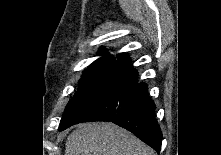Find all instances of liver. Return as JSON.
<instances>
[{"instance_id":"6515ba94","label":"liver","mask_w":221,"mask_h":155,"mask_svg":"<svg viewBox=\"0 0 221 155\" xmlns=\"http://www.w3.org/2000/svg\"><path fill=\"white\" fill-rule=\"evenodd\" d=\"M65 155H156L136 136L111 122L84 123L67 137Z\"/></svg>"}]
</instances>
